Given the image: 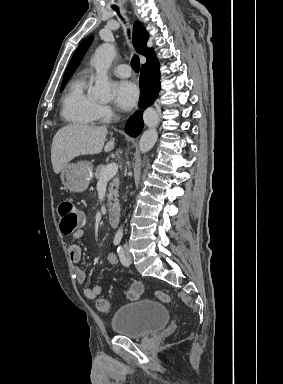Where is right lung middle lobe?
<instances>
[{
	"mask_svg": "<svg viewBox=\"0 0 283 384\" xmlns=\"http://www.w3.org/2000/svg\"><path fill=\"white\" fill-rule=\"evenodd\" d=\"M66 83H67V82H65V83H62V86H61V91H62V90H63V88L65 87Z\"/></svg>",
	"mask_w": 283,
	"mask_h": 384,
	"instance_id": "1",
	"label": "right lung middle lobe"
}]
</instances>
